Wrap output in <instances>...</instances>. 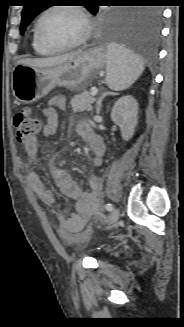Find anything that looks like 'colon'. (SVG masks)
I'll list each match as a JSON object with an SVG mask.
<instances>
[{
    "instance_id": "1",
    "label": "colon",
    "mask_w": 184,
    "mask_h": 327,
    "mask_svg": "<svg viewBox=\"0 0 184 327\" xmlns=\"http://www.w3.org/2000/svg\"><path fill=\"white\" fill-rule=\"evenodd\" d=\"M15 128V137L18 142L26 144L32 140L41 129V121L35 116L30 109H20L16 112L13 119ZM96 219H100L99 212L93 215Z\"/></svg>"
}]
</instances>
